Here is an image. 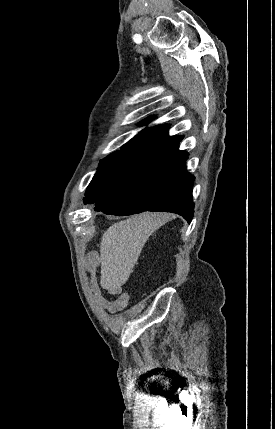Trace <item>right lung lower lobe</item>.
Masks as SVG:
<instances>
[{"label":"right lung lower lobe","instance_id":"98d812e1","mask_svg":"<svg viewBox=\"0 0 275 429\" xmlns=\"http://www.w3.org/2000/svg\"><path fill=\"white\" fill-rule=\"evenodd\" d=\"M187 155L175 145L147 161L119 189L96 201L94 210L118 216L167 211L190 223L194 214V177L185 169Z\"/></svg>","mask_w":275,"mask_h":429}]
</instances>
